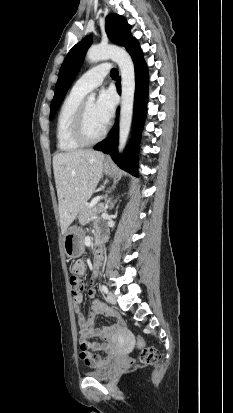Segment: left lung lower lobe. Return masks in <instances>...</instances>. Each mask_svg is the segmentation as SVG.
<instances>
[{"label":"left lung lower lobe","mask_w":233,"mask_h":413,"mask_svg":"<svg viewBox=\"0 0 233 413\" xmlns=\"http://www.w3.org/2000/svg\"><path fill=\"white\" fill-rule=\"evenodd\" d=\"M132 56L136 69V94H135V119L134 136L127 151L118 157V124L111 130L108 139L97 145L94 149L110 154L112 159L124 170L137 176L138 145L140 133L146 114L148 71L139 44L133 46L129 51ZM118 92L120 93V81L117 82Z\"/></svg>","instance_id":"obj_1"}]
</instances>
